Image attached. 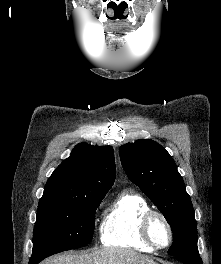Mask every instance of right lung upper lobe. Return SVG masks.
I'll use <instances>...</instances> for the list:
<instances>
[{
	"label": "right lung upper lobe",
	"instance_id": "right-lung-upper-lobe-1",
	"mask_svg": "<svg viewBox=\"0 0 221 264\" xmlns=\"http://www.w3.org/2000/svg\"><path fill=\"white\" fill-rule=\"evenodd\" d=\"M114 180L113 148L80 143L49 177L43 197L80 198L106 194Z\"/></svg>",
	"mask_w": 221,
	"mask_h": 264
}]
</instances>
